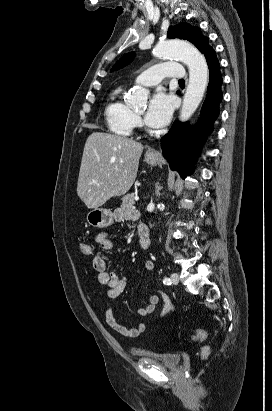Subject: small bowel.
<instances>
[{"label":"small bowel","mask_w":272,"mask_h":411,"mask_svg":"<svg viewBox=\"0 0 272 411\" xmlns=\"http://www.w3.org/2000/svg\"><path fill=\"white\" fill-rule=\"evenodd\" d=\"M137 211L132 209H121L116 215L115 219L119 222L133 221L138 218ZM95 242L100 245L104 250L111 251L114 249V243L109 238L107 232H99L95 236ZM144 269L147 272H151L154 269V263L151 260L144 261ZM93 267L97 272V280L100 284L105 286V294L108 298L114 299L122 294L126 287V279L120 277L118 274L109 272L107 268V262L100 255H95L93 258ZM157 294L150 295L147 298V303L136 308V315L139 317H145L155 312L160 304L163 302V308L159 313V319H163L168 313L175 312V306L172 303L169 296L162 290L156 289ZM105 321L107 325L116 333L127 337L135 338L143 334L147 325L144 322H139L134 328H127L120 324L114 317L111 308L105 310Z\"/></svg>","instance_id":"small-bowel-1"}]
</instances>
